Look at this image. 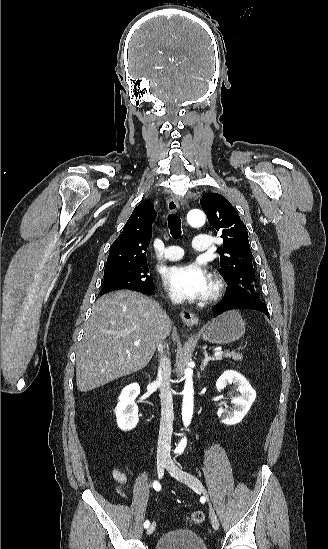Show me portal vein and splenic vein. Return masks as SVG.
I'll return each mask as SVG.
<instances>
[{"label":"portal vein and splenic vein","mask_w":328,"mask_h":549,"mask_svg":"<svg viewBox=\"0 0 328 549\" xmlns=\"http://www.w3.org/2000/svg\"><path fill=\"white\" fill-rule=\"evenodd\" d=\"M135 347H139L140 341H134ZM222 355V350H218V353H214V357H220Z\"/></svg>","instance_id":"portal-vein-and-splenic-vein-1"}]
</instances>
